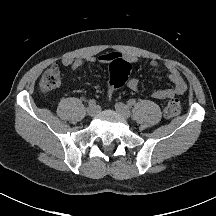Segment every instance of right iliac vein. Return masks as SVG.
I'll return each mask as SVG.
<instances>
[{"instance_id": "right-iliac-vein-1", "label": "right iliac vein", "mask_w": 216, "mask_h": 216, "mask_svg": "<svg viewBox=\"0 0 216 216\" xmlns=\"http://www.w3.org/2000/svg\"><path fill=\"white\" fill-rule=\"evenodd\" d=\"M98 113V108L97 106H89L87 108V114L91 117L95 116Z\"/></svg>"}]
</instances>
